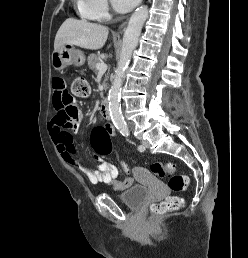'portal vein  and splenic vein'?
Instances as JSON below:
<instances>
[{
	"label": "portal vein and splenic vein",
	"instance_id": "portal-vein-and-splenic-vein-1",
	"mask_svg": "<svg viewBox=\"0 0 248 258\" xmlns=\"http://www.w3.org/2000/svg\"><path fill=\"white\" fill-rule=\"evenodd\" d=\"M96 67H97V70H98L100 73H104V72L107 70V65H106V63H104V62L97 63V64H96Z\"/></svg>",
	"mask_w": 248,
	"mask_h": 258
}]
</instances>
